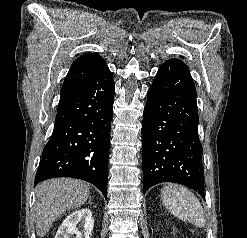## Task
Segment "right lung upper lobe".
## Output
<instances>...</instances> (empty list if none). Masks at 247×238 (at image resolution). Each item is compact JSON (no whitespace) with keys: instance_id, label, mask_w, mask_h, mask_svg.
<instances>
[{"instance_id":"1","label":"right lung upper lobe","mask_w":247,"mask_h":238,"mask_svg":"<svg viewBox=\"0 0 247 238\" xmlns=\"http://www.w3.org/2000/svg\"><path fill=\"white\" fill-rule=\"evenodd\" d=\"M106 67L104 59L97 53H87L77 58L62 85L60 102L85 86Z\"/></svg>"}]
</instances>
